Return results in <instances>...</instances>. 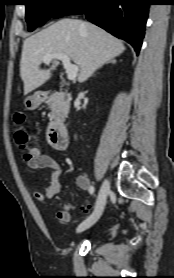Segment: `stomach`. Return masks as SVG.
Segmentation results:
<instances>
[{
	"label": "stomach",
	"instance_id": "stomach-1",
	"mask_svg": "<svg viewBox=\"0 0 174 278\" xmlns=\"http://www.w3.org/2000/svg\"><path fill=\"white\" fill-rule=\"evenodd\" d=\"M40 100L37 99V94H35L34 96H30L25 100V105L29 108V109H35L40 105Z\"/></svg>",
	"mask_w": 174,
	"mask_h": 278
}]
</instances>
